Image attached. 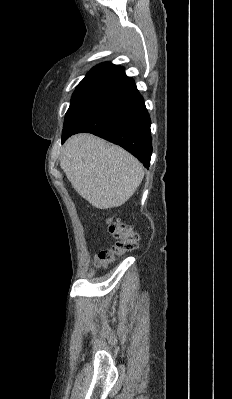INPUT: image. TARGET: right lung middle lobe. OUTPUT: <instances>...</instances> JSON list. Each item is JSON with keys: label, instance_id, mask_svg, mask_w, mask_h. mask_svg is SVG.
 <instances>
[{"label": "right lung middle lobe", "instance_id": "obj_1", "mask_svg": "<svg viewBox=\"0 0 232 399\" xmlns=\"http://www.w3.org/2000/svg\"><path fill=\"white\" fill-rule=\"evenodd\" d=\"M97 83L92 82V81H85L82 80L79 85L76 87V90L73 93L72 99L78 97L79 95H81L83 92H85L86 90L92 88L93 86H95Z\"/></svg>", "mask_w": 232, "mask_h": 399}]
</instances>
